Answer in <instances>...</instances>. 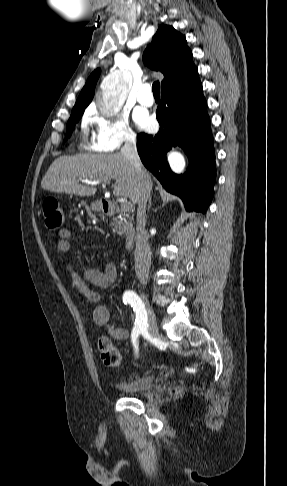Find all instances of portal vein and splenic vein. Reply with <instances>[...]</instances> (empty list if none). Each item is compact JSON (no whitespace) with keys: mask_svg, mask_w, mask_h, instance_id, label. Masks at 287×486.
I'll return each instance as SVG.
<instances>
[{"mask_svg":"<svg viewBox=\"0 0 287 486\" xmlns=\"http://www.w3.org/2000/svg\"><path fill=\"white\" fill-rule=\"evenodd\" d=\"M85 182L89 184H99V183H107V180L102 179V180H93V181H85ZM121 208L125 211H129L131 209V205L127 201L122 200Z\"/></svg>","mask_w":287,"mask_h":486,"instance_id":"portal-vein-and-splenic-vein-1","label":"portal vein and splenic vein"}]
</instances>
